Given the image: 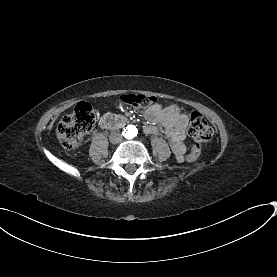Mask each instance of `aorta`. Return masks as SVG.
<instances>
[{
    "instance_id": "obj_1",
    "label": "aorta",
    "mask_w": 277,
    "mask_h": 277,
    "mask_svg": "<svg viewBox=\"0 0 277 277\" xmlns=\"http://www.w3.org/2000/svg\"><path fill=\"white\" fill-rule=\"evenodd\" d=\"M138 130L134 125H128L125 129V136L127 138H133L137 135Z\"/></svg>"
}]
</instances>
